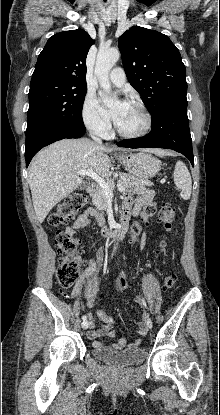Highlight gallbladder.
I'll list each match as a JSON object with an SVG mask.
<instances>
[{"label": "gallbladder", "mask_w": 220, "mask_h": 415, "mask_svg": "<svg viewBox=\"0 0 220 415\" xmlns=\"http://www.w3.org/2000/svg\"><path fill=\"white\" fill-rule=\"evenodd\" d=\"M86 188V184L85 183H82L80 186H79V189H81V190H83V189H85Z\"/></svg>", "instance_id": "gallbladder-1"}]
</instances>
